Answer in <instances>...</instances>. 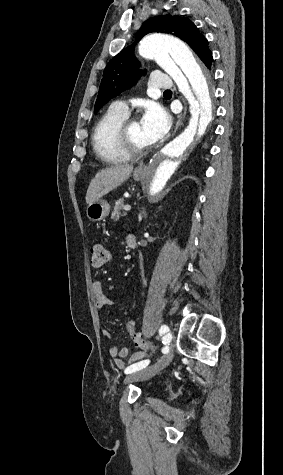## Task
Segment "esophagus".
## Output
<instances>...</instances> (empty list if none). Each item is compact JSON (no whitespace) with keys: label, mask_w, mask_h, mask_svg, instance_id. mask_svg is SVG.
Wrapping results in <instances>:
<instances>
[{"label":"esophagus","mask_w":283,"mask_h":475,"mask_svg":"<svg viewBox=\"0 0 283 475\" xmlns=\"http://www.w3.org/2000/svg\"><path fill=\"white\" fill-rule=\"evenodd\" d=\"M187 113V105L186 103L184 102V110H183V113H181L178 117V120L176 122V125H175V129H174V133L177 131V129L179 128V126L181 125L183 119L185 118V115ZM136 172H142L143 171V167H137Z\"/></svg>","instance_id":"34e87169"}]
</instances>
